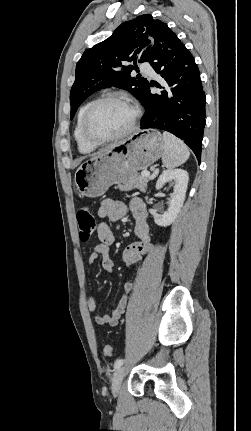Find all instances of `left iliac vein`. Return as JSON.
I'll list each match as a JSON object with an SVG mask.
<instances>
[{
    "instance_id": "left-iliac-vein-1",
    "label": "left iliac vein",
    "mask_w": 251,
    "mask_h": 431,
    "mask_svg": "<svg viewBox=\"0 0 251 431\" xmlns=\"http://www.w3.org/2000/svg\"><path fill=\"white\" fill-rule=\"evenodd\" d=\"M124 375L125 368L123 366L118 367L113 374L111 389L114 396L119 394Z\"/></svg>"
}]
</instances>
